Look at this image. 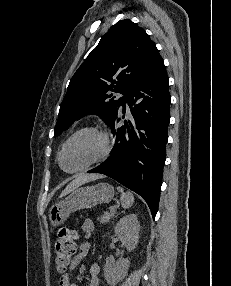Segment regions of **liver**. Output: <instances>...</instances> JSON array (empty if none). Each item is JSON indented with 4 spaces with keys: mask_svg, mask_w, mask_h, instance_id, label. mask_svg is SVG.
I'll return each mask as SVG.
<instances>
[{
    "mask_svg": "<svg viewBox=\"0 0 231 286\" xmlns=\"http://www.w3.org/2000/svg\"><path fill=\"white\" fill-rule=\"evenodd\" d=\"M103 176L100 174H84L76 177L67 187L62 191L60 197L66 196L67 194L71 193L79 186L93 180H97L102 178Z\"/></svg>",
    "mask_w": 231,
    "mask_h": 286,
    "instance_id": "6515ba94",
    "label": "liver"
}]
</instances>
